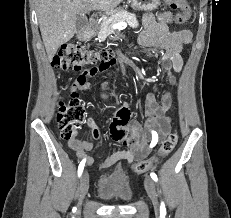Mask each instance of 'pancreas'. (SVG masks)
Returning a JSON list of instances; mask_svg holds the SVG:
<instances>
[{
    "label": "pancreas",
    "instance_id": "1",
    "mask_svg": "<svg viewBox=\"0 0 231 218\" xmlns=\"http://www.w3.org/2000/svg\"><path fill=\"white\" fill-rule=\"evenodd\" d=\"M124 21H126L132 28L138 27V21L135 14L129 13L126 10H117L111 16L102 20L98 32V38L101 40L106 39L107 36L114 33L116 30L113 25Z\"/></svg>",
    "mask_w": 231,
    "mask_h": 218
}]
</instances>
